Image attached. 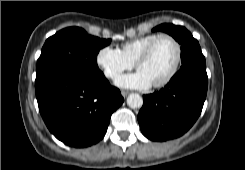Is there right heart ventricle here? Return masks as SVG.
I'll return each instance as SVG.
<instances>
[{"label":"right heart ventricle","mask_w":245,"mask_h":170,"mask_svg":"<svg viewBox=\"0 0 245 170\" xmlns=\"http://www.w3.org/2000/svg\"><path fill=\"white\" fill-rule=\"evenodd\" d=\"M159 33L148 34L134 40L128 41L122 45L123 54L131 61L135 62L140 52L151 42Z\"/></svg>","instance_id":"e07e8e85"}]
</instances>
